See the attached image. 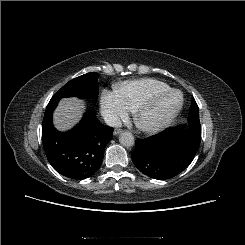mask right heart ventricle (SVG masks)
I'll list each match as a JSON object with an SVG mask.
<instances>
[{
  "instance_id": "obj_1",
  "label": "right heart ventricle",
  "mask_w": 245,
  "mask_h": 245,
  "mask_svg": "<svg viewBox=\"0 0 245 245\" xmlns=\"http://www.w3.org/2000/svg\"><path fill=\"white\" fill-rule=\"evenodd\" d=\"M169 89L171 87L167 83L153 78L129 80L115 86V91L130 109L145 98Z\"/></svg>"
}]
</instances>
